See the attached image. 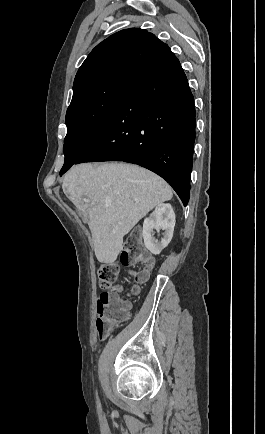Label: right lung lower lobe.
<instances>
[{
    "label": "right lung lower lobe",
    "instance_id": "98d812e1",
    "mask_svg": "<svg viewBox=\"0 0 265 434\" xmlns=\"http://www.w3.org/2000/svg\"><path fill=\"white\" fill-rule=\"evenodd\" d=\"M194 142L193 94L169 49L134 76L105 129L75 164H138L164 178L186 206Z\"/></svg>",
    "mask_w": 265,
    "mask_h": 434
}]
</instances>
